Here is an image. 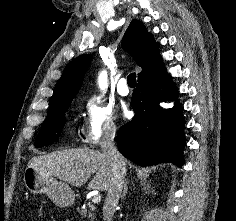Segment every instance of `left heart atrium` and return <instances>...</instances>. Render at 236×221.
<instances>
[{
	"label": "left heart atrium",
	"instance_id": "left-heart-atrium-1",
	"mask_svg": "<svg viewBox=\"0 0 236 221\" xmlns=\"http://www.w3.org/2000/svg\"><path fill=\"white\" fill-rule=\"evenodd\" d=\"M124 113H125V115H127L128 111L125 109V110H124Z\"/></svg>",
	"mask_w": 236,
	"mask_h": 221
}]
</instances>
